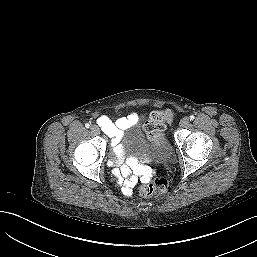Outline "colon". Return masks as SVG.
Here are the masks:
<instances>
[{
    "label": "colon",
    "instance_id": "5ec220e1",
    "mask_svg": "<svg viewBox=\"0 0 257 257\" xmlns=\"http://www.w3.org/2000/svg\"><path fill=\"white\" fill-rule=\"evenodd\" d=\"M173 118V111L170 109L157 110L150 114L149 119L144 124L145 131L152 137L156 138L162 135L168 123ZM168 189V181L165 178L146 181L139 189L142 197H150L155 194H161Z\"/></svg>",
    "mask_w": 257,
    "mask_h": 257
}]
</instances>
